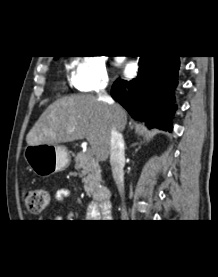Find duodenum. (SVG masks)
<instances>
[{"instance_id": "1", "label": "duodenum", "mask_w": 218, "mask_h": 277, "mask_svg": "<svg viewBox=\"0 0 218 277\" xmlns=\"http://www.w3.org/2000/svg\"><path fill=\"white\" fill-rule=\"evenodd\" d=\"M95 199L102 208L103 213H107L111 208V191L109 188H102L95 194Z\"/></svg>"}]
</instances>
